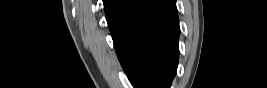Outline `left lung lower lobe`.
Instances as JSON below:
<instances>
[{
  "instance_id": "0a47b994",
  "label": "left lung lower lobe",
  "mask_w": 267,
  "mask_h": 88,
  "mask_svg": "<svg viewBox=\"0 0 267 88\" xmlns=\"http://www.w3.org/2000/svg\"><path fill=\"white\" fill-rule=\"evenodd\" d=\"M118 59L135 88H169L178 65L175 0H103Z\"/></svg>"
}]
</instances>
